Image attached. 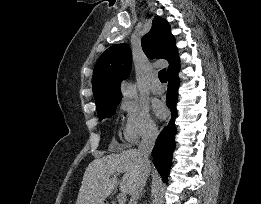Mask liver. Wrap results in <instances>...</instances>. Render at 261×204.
Instances as JSON below:
<instances>
[{
	"label": "liver",
	"instance_id": "liver-1",
	"mask_svg": "<svg viewBox=\"0 0 261 204\" xmlns=\"http://www.w3.org/2000/svg\"><path fill=\"white\" fill-rule=\"evenodd\" d=\"M119 173H124L120 190L131 195L143 173L136 149L92 161L85 170L76 204H103L116 187Z\"/></svg>",
	"mask_w": 261,
	"mask_h": 204
}]
</instances>
